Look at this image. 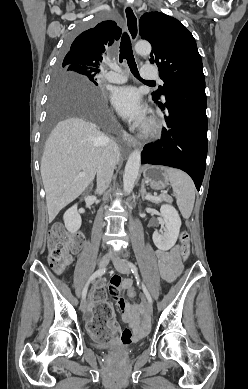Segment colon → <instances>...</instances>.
<instances>
[{
  "instance_id": "obj_1",
  "label": "colon",
  "mask_w": 248,
  "mask_h": 389,
  "mask_svg": "<svg viewBox=\"0 0 248 389\" xmlns=\"http://www.w3.org/2000/svg\"><path fill=\"white\" fill-rule=\"evenodd\" d=\"M180 243L181 256L183 259H187L190 255V235L187 231L181 232ZM81 246L82 239L80 236L69 234L62 224H55L48 236L49 264L51 268L56 272L64 271L70 261L71 254L78 252ZM104 283L105 280L100 279L99 282L94 284L95 294L92 297V302L95 303L92 312L94 322H90L88 327L91 336L98 337L99 344H108L109 340L119 335L118 330H112L111 326H107L108 322L112 320L113 311L106 301L107 294L103 286ZM136 289L137 286L132 284L127 291V296L134 298Z\"/></svg>"
}]
</instances>
